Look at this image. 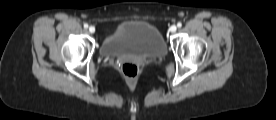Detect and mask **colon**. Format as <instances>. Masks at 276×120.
I'll list each match as a JSON object with an SVG mask.
<instances>
[{
    "instance_id": "5ec220e1",
    "label": "colon",
    "mask_w": 276,
    "mask_h": 120,
    "mask_svg": "<svg viewBox=\"0 0 276 120\" xmlns=\"http://www.w3.org/2000/svg\"><path fill=\"white\" fill-rule=\"evenodd\" d=\"M122 74L129 83H134L137 79L139 66L134 60H126L121 66Z\"/></svg>"
}]
</instances>
